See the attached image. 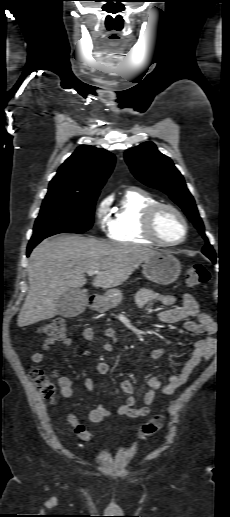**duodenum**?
Returning a JSON list of instances; mask_svg holds the SVG:
<instances>
[{
    "label": "duodenum",
    "mask_w": 230,
    "mask_h": 517,
    "mask_svg": "<svg viewBox=\"0 0 230 517\" xmlns=\"http://www.w3.org/2000/svg\"><path fill=\"white\" fill-rule=\"evenodd\" d=\"M102 301V298H100L99 296H96V295H93L90 297V302L92 304V306L95 308V309H99L100 308V302Z\"/></svg>",
    "instance_id": "410a0bca"
}]
</instances>
